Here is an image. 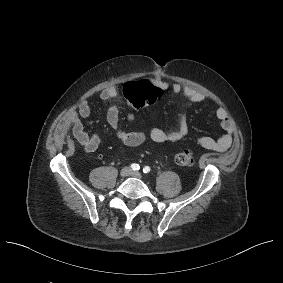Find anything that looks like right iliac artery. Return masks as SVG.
<instances>
[{
	"label": "right iliac artery",
	"mask_w": 283,
	"mask_h": 283,
	"mask_svg": "<svg viewBox=\"0 0 283 283\" xmlns=\"http://www.w3.org/2000/svg\"><path fill=\"white\" fill-rule=\"evenodd\" d=\"M131 168H132V170H139L140 169V166L138 165V164H136V163H133V164H131V166H130Z\"/></svg>",
	"instance_id": "1"
}]
</instances>
